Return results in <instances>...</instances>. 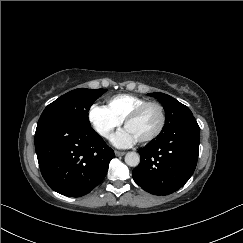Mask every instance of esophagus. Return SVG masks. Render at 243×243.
I'll list each match as a JSON object with an SVG mask.
<instances>
[{
  "instance_id": "34e87169",
  "label": "esophagus",
  "mask_w": 243,
  "mask_h": 243,
  "mask_svg": "<svg viewBox=\"0 0 243 243\" xmlns=\"http://www.w3.org/2000/svg\"><path fill=\"white\" fill-rule=\"evenodd\" d=\"M115 156H123L126 154V152H123V151H115Z\"/></svg>"
}]
</instances>
